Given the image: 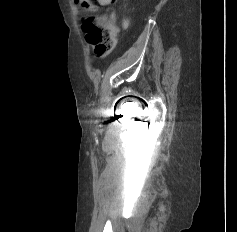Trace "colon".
Instances as JSON below:
<instances>
[{
    "label": "colon",
    "mask_w": 237,
    "mask_h": 232,
    "mask_svg": "<svg viewBox=\"0 0 237 232\" xmlns=\"http://www.w3.org/2000/svg\"><path fill=\"white\" fill-rule=\"evenodd\" d=\"M83 9L81 25L86 33L87 41L93 45L94 52L100 57L110 55L116 44L117 27L115 18L95 15L97 5H108L115 0H76Z\"/></svg>",
    "instance_id": "1"
}]
</instances>
